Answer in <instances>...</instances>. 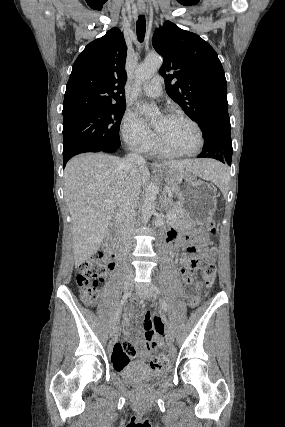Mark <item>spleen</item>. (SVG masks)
Segmentation results:
<instances>
[{"label": "spleen", "mask_w": 285, "mask_h": 427, "mask_svg": "<svg viewBox=\"0 0 285 427\" xmlns=\"http://www.w3.org/2000/svg\"><path fill=\"white\" fill-rule=\"evenodd\" d=\"M210 181L213 182L223 193H226L229 187V173L227 169L219 163V165L214 168Z\"/></svg>", "instance_id": "1"}]
</instances>
